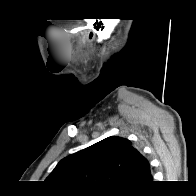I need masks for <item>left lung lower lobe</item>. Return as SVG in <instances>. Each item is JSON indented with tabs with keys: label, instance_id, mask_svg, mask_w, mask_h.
I'll list each match as a JSON object with an SVG mask.
<instances>
[{
	"label": "left lung lower lobe",
	"instance_id": "0a47b994",
	"mask_svg": "<svg viewBox=\"0 0 196 196\" xmlns=\"http://www.w3.org/2000/svg\"><path fill=\"white\" fill-rule=\"evenodd\" d=\"M152 182V175H151V171L149 172V175L145 181V184Z\"/></svg>",
	"mask_w": 196,
	"mask_h": 196
}]
</instances>
